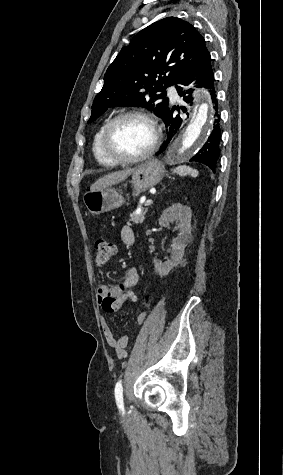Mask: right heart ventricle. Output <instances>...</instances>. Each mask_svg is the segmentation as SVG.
I'll use <instances>...</instances> for the list:
<instances>
[{"label":"right heart ventricle","instance_id":"right-heart-ventricle-1","mask_svg":"<svg viewBox=\"0 0 283 475\" xmlns=\"http://www.w3.org/2000/svg\"><path fill=\"white\" fill-rule=\"evenodd\" d=\"M109 122H110V119L104 120L99 125V127L97 128V130L95 131V133L93 135L92 153H93V156H94V158L96 159L97 162H107L106 157L103 155V153L101 151L100 142H101L102 134H103V132H104V130H105V128H106V126L108 125Z\"/></svg>","mask_w":283,"mask_h":475}]
</instances>
